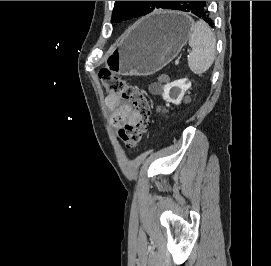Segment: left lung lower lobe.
Returning <instances> with one entry per match:
<instances>
[{
    "mask_svg": "<svg viewBox=\"0 0 271 266\" xmlns=\"http://www.w3.org/2000/svg\"><path fill=\"white\" fill-rule=\"evenodd\" d=\"M168 9L193 13L209 26L213 27V20L207 9L206 1H174L172 6Z\"/></svg>",
    "mask_w": 271,
    "mask_h": 266,
    "instance_id": "1",
    "label": "left lung lower lobe"
}]
</instances>
